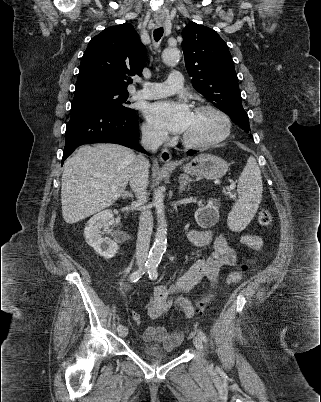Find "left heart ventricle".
Instances as JSON below:
<instances>
[{"mask_svg":"<svg viewBox=\"0 0 321 402\" xmlns=\"http://www.w3.org/2000/svg\"><path fill=\"white\" fill-rule=\"evenodd\" d=\"M223 130L222 119L209 110L192 111L183 132L187 138L195 141H207L216 138Z\"/></svg>","mask_w":321,"mask_h":402,"instance_id":"b2bd125f","label":"left heart ventricle"}]
</instances>
